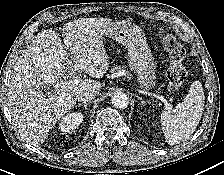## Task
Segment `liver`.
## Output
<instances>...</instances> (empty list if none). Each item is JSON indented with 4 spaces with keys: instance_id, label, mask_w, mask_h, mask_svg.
Returning <instances> with one entry per match:
<instances>
[{
    "instance_id": "1",
    "label": "liver",
    "mask_w": 224,
    "mask_h": 175,
    "mask_svg": "<svg viewBox=\"0 0 224 175\" xmlns=\"http://www.w3.org/2000/svg\"><path fill=\"white\" fill-rule=\"evenodd\" d=\"M106 18H84L66 23L62 28L64 50L58 34L49 29L38 33L13 67L8 88V106L20 137L34 146L42 144L48 131L71 111L81 91L101 90V83L81 80L65 88H57L64 76L74 77L85 71L101 78L109 60L102 41ZM43 85L54 86L55 94L45 95Z\"/></svg>"
}]
</instances>
